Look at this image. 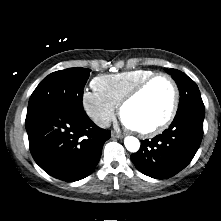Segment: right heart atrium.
<instances>
[{
    "label": "right heart atrium",
    "instance_id": "1",
    "mask_svg": "<svg viewBox=\"0 0 221 221\" xmlns=\"http://www.w3.org/2000/svg\"><path fill=\"white\" fill-rule=\"evenodd\" d=\"M82 104L87 115L100 127H106L115 117L116 105L98 92L85 91Z\"/></svg>",
    "mask_w": 221,
    "mask_h": 221
}]
</instances>
